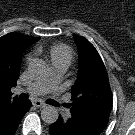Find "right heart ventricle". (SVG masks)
Wrapping results in <instances>:
<instances>
[{
    "label": "right heart ventricle",
    "instance_id": "e07e8e85",
    "mask_svg": "<svg viewBox=\"0 0 135 135\" xmlns=\"http://www.w3.org/2000/svg\"><path fill=\"white\" fill-rule=\"evenodd\" d=\"M37 52H42V48L38 47ZM47 57L52 66L63 65L68 68L74 58L73 50L64 43H56L49 47Z\"/></svg>",
    "mask_w": 135,
    "mask_h": 135
}]
</instances>
